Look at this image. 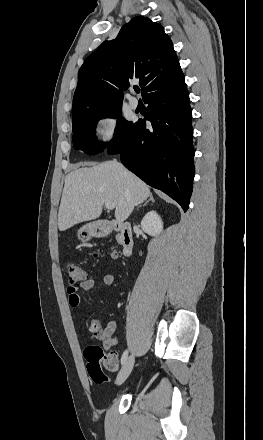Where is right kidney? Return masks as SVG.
<instances>
[{
  "label": "right kidney",
  "instance_id": "1",
  "mask_svg": "<svg viewBox=\"0 0 263 440\" xmlns=\"http://www.w3.org/2000/svg\"><path fill=\"white\" fill-rule=\"evenodd\" d=\"M141 228L151 236H158L162 233L163 223L156 211H150L143 217Z\"/></svg>",
  "mask_w": 263,
  "mask_h": 440
}]
</instances>
